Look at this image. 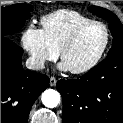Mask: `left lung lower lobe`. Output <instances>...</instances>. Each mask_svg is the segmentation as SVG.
I'll use <instances>...</instances> for the list:
<instances>
[{
  "label": "left lung lower lobe",
  "mask_w": 123,
  "mask_h": 123,
  "mask_svg": "<svg viewBox=\"0 0 123 123\" xmlns=\"http://www.w3.org/2000/svg\"><path fill=\"white\" fill-rule=\"evenodd\" d=\"M63 123H123V52L79 79L59 80Z\"/></svg>",
  "instance_id": "obj_1"
}]
</instances>
